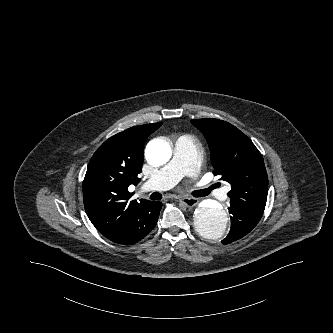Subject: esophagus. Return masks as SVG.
Here are the masks:
<instances>
[{"label":"esophagus","instance_id":"obj_1","mask_svg":"<svg viewBox=\"0 0 333 333\" xmlns=\"http://www.w3.org/2000/svg\"><path fill=\"white\" fill-rule=\"evenodd\" d=\"M179 201L186 207H194L198 204V199L196 198H193V197H187V196H184V197H180L179 198Z\"/></svg>","mask_w":333,"mask_h":333}]
</instances>
